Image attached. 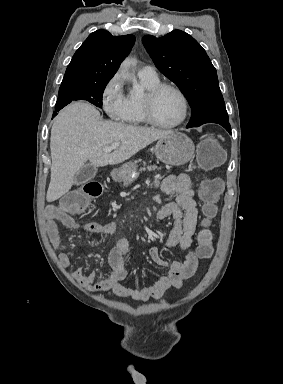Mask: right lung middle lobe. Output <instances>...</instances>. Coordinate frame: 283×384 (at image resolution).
Listing matches in <instances>:
<instances>
[{
	"label": "right lung middle lobe",
	"mask_w": 283,
	"mask_h": 384,
	"mask_svg": "<svg viewBox=\"0 0 283 384\" xmlns=\"http://www.w3.org/2000/svg\"><path fill=\"white\" fill-rule=\"evenodd\" d=\"M107 83L60 87L55 109H62L71 101L86 100L102 108V95Z\"/></svg>",
	"instance_id": "obj_1"
}]
</instances>
